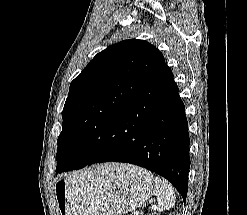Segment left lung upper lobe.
Returning a JSON list of instances; mask_svg holds the SVG:
<instances>
[{
	"label": "left lung upper lobe",
	"mask_w": 247,
	"mask_h": 215,
	"mask_svg": "<svg viewBox=\"0 0 247 215\" xmlns=\"http://www.w3.org/2000/svg\"><path fill=\"white\" fill-rule=\"evenodd\" d=\"M164 61L155 46L125 40L98 53L71 82L62 111L56 172L69 170L85 147L91 154Z\"/></svg>",
	"instance_id": "obj_1"
}]
</instances>
